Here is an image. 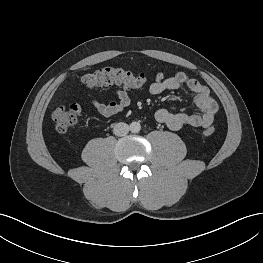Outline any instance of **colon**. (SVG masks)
I'll use <instances>...</instances> for the list:
<instances>
[{
	"label": "colon",
	"instance_id": "1",
	"mask_svg": "<svg viewBox=\"0 0 263 263\" xmlns=\"http://www.w3.org/2000/svg\"><path fill=\"white\" fill-rule=\"evenodd\" d=\"M82 83L88 88L120 85L128 89H140L146 84V77L119 66L107 65L84 75ZM79 113L80 106L76 103L59 105L52 114L56 130L68 131L76 124ZM214 132L215 129L210 127L204 134L211 136Z\"/></svg>",
	"mask_w": 263,
	"mask_h": 263
}]
</instances>
